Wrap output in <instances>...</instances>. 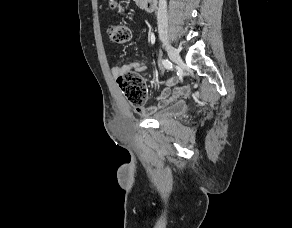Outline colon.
Returning <instances> with one entry per match:
<instances>
[{"mask_svg": "<svg viewBox=\"0 0 292 228\" xmlns=\"http://www.w3.org/2000/svg\"><path fill=\"white\" fill-rule=\"evenodd\" d=\"M114 8L121 9V4L116 0H110ZM109 41L114 45H122L131 37L130 29L122 24H113L108 28ZM117 83L130 104L136 108L144 106L146 100V88L143 78L136 72L128 71L117 77Z\"/></svg>", "mask_w": 292, "mask_h": 228, "instance_id": "colon-1", "label": "colon"}]
</instances>
